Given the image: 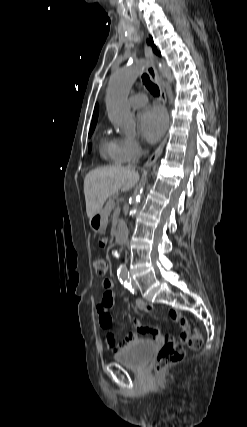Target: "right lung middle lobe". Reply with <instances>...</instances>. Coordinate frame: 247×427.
<instances>
[{"label": "right lung middle lobe", "mask_w": 247, "mask_h": 427, "mask_svg": "<svg viewBox=\"0 0 247 427\" xmlns=\"http://www.w3.org/2000/svg\"><path fill=\"white\" fill-rule=\"evenodd\" d=\"M94 128H95V126H91V127H90L89 137H90V136H91V134L93 133ZM88 148H89V152H90V150H91V144H89V145H88Z\"/></svg>", "instance_id": "obj_1"}]
</instances>
